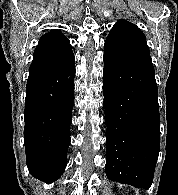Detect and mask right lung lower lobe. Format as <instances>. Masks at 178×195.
<instances>
[{
	"mask_svg": "<svg viewBox=\"0 0 178 195\" xmlns=\"http://www.w3.org/2000/svg\"><path fill=\"white\" fill-rule=\"evenodd\" d=\"M74 76V60L29 71L24 110L26 162L31 175L46 183L58 179L67 165Z\"/></svg>",
	"mask_w": 178,
	"mask_h": 195,
	"instance_id": "obj_1",
	"label": "right lung lower lobe"
}]
</instances>
